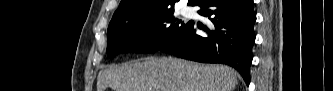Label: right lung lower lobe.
<instances>
[{
    "label": "right lung lower lobe",
    "mask_w": 333,
    "mask_h": 91,
    "mask_svg": "<svg viewBox=\"0 0 333 91\" xmlns=\"http://www.w3.org/2000/svg\"><path fill=\"white\" fill-rule=\"evenodd\" d=\"M198 6V13L209 18V27L189 21L158 51L198 62L230 65L249 85L256 21L253 0H202ZM197 27L206 34L197 35Z\"/></svg>",
    "instance_id": "obj_1"
}]
</instances>
